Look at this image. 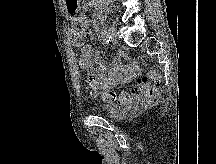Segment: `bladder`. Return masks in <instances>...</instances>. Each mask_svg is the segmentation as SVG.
Returning <instances> with one entry per match:
<instances>
[{"mask_svg":"<svg viewBox=\"0 0 216 164\" xmlns=\"http://www.w3.org/2000/svg\"><path fill=\"white\" fill-rule=\"evenodd\" d=\"M129 107L128 106H119L114 109H111L108 118L113 121L120 120L128 113Z\"/></svg>","mask_w":216,"mask_h":164,"instance_id":"31cf9c89","label":"bladder"}]
</instances>
